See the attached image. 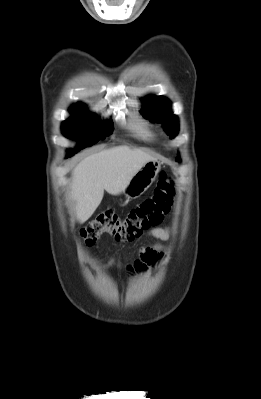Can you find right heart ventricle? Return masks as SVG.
<instances>
[{
  "label": "right heart ventricle",
  "instance_id": "e07e8e85",
  "mask_svg": "<svg viewBox=\"0 0 261 399\" xmlns=\"http://www.w3.org/2000/svg\"><path fill=\"white\" fill-rule=\"evenodd\" d=\"M129 127L136 134V136L143 140L150 141L154 138L152 130L146 123L142 121H132Z\"/></svg>",
  "mask_w": 261,
  "mask_h": 399
}]
</instances>
